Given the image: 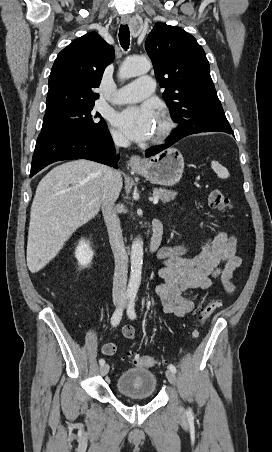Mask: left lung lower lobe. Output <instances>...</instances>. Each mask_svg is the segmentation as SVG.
I'll return each mask as SVG.
<instances>
[{
  "label": "left lung lower lobe",
  "mask_w": 272,
  "mask_h": 452,
  "mask_svg": "<svg viewBox=\"0 0 272 452\" xmlns=\"http://www.w3.org/2000/svg\"><path fill=\"white\" fill-rule=\"evenodd\" d=\"M209 131H215V130H203V129H197V128H178L176 131L172 132V134L168 137L169 141L166 144H164L162 146H154L152 148L147 149L145 152V155H146V157L153 156V155L161 152L162 150L170 147L175 142H177L178 140H180L181 138H183L185 136L195 134V133H200V132H209ZM219 131L226 132L228 134H234L231 128L219 130Z\"/></svg>",
  "instance_id": "obj_1"
}]
</instances>
